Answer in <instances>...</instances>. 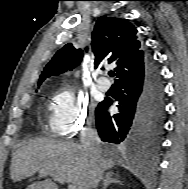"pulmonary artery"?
<instances>
[{
  "mask_svg": "<svg viewBox=\"0 0 188 189\" xmlns=\"http://www.w3.org/2000/svg\"><path fill=\"white\" fill-rule=\"evenodd\" d=\"M96 85H97V88L103 92H106L110 88V82L106 78L98 79Z\"/></svg>",
  "mask_w": 188,
  "mask_h": 189,
  "instance_id": "pulmonary-artery-1",
  "label": "pulmonary artery"
}]
</instances>
